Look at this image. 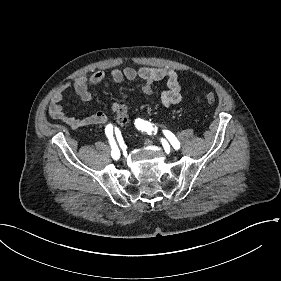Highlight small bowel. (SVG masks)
Masks as SVG:
<instances>
[{"instance_id": "obj_1", "label": "small bowel", "mask_w": 281, "mask_h": 281, "mask_svg": "<svg viewBox=\"0 0 281 281\" xmlns=\"http://www.w3.org/2000/svg\"><path fill=\"white\" fill-rule=\"evenodd\" d=\"M105 78L102 71L94 72L86 77H79L74 81L73 88L75 93L83 102H90L93 99L92 93L89 90L90 86L100 84ZM110 78L115 83H120L124 80L141 79L143 81L142 91L146 95L153 93V84L160 80H166L167 91L161 95V103L165 107H170L180 102L181 87L178 79V74L175 70L169 68H153V67H125L123 69H114L110 73ZM70 84L66 83L59 88L54 95L49 107V114L53 119H56L67 126L78 129L89 126L104 125L108 121V116L103 112H97L84 117H78L68 114L62 101L69 92ZM127 107L124 104L115 103L112 106V113L118 118L120 116L127 117Z\"/></svg>"}]
</instances>
